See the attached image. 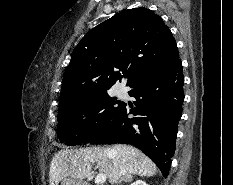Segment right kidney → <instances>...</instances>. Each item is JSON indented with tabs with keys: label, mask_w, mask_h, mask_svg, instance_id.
<instances>
[{
	"label": "right kidney",
	"mask_w": 233,
	"mask_h": 185,
	"mask_svg": "<svg viewBox=\"0 0 233 185\" xmlns=\"http://www.w3.org/2000/svg\"><path fill=\"white\" fill-rule=\"evenodd\" d=\"M131 185H148V184H146V182H144L142 180H137V181L131 183Z\"/></svg>",
	"instance_id": "1"
}]
</instances>
